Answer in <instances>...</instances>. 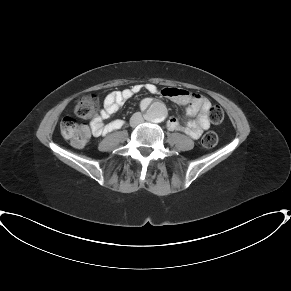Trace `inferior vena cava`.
Instances as JSON below:
<instances>
[{"label":"inferior vena cava","instance_id":"inferior-vena-cava-1","mask_svg":"<svg viewBox=\"0 0 291 291\" xmlns=\"http://www.w3.org/2000/svg\"><path fill=\"white\" fill-rule=\"evenodd\" d=\"M143 122H144V119H143L142 114L140 112L134 113L132 115V117L130 118V125L132 127H136Z\"/></svg>","mask_w":291,"mask_h":291}]
</instances>
